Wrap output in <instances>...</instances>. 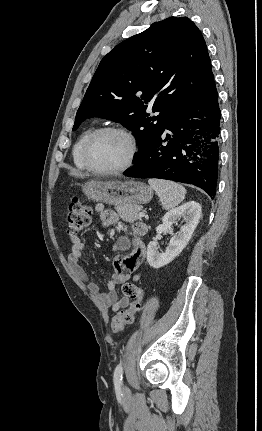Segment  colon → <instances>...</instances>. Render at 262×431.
Instances as JSON below:
<instances>
[{"instance_id": "colon-1", "label": "colon", "mask_w": 262, "mask_h": 431, "mask_svg": "<svg viewBox=\"0 0 262 431\" xmlns=\"http://www.w3.org/2000/svg\"><path fill=\"white\" fill-rule=\"evenodd\" d=\"M90 221L91 209L77 197H73L67 212V233L71 236L78 234L90 224ZM121 291L123 296L130 300V304L112 318L110 327L114 334L120 333L125 326L133 323L136 313L141 310L144 297V290L130 281L122 284Z\"/></svg>"}]
</instances>
